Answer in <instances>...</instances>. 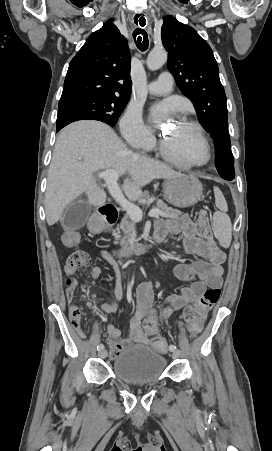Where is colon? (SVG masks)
Here are the masks:
<instances>
[{
	"label": "colon",
	"instance_id": "1",
	"mask_svg": "<svg viewBox=\"0 0 272 451\" xmlns=\"http://www.w3.org/2000/svg\"><path fill=\"white\" fill-rule=\"evenodd\" d=\"M198 227L204 232V248L206 249H214L216 244L212 240L211 236V227L209 223V214L207 211L203 210L200 212L197 219ZM63 238L65 239L66 249L67 250H76L78 243V236L76 235L75 230H64ZM91 258L87 252L84 251H74L69 254L66 268L67 269H77V268H86L90 265ZM65 286L68 289H71L74 286V283L71 280H68L65 283ZM221 296V291L216 288L208 289L198 300L196 305L189 306L184 311V318L188 324V328L190 333L197 334L201 330V326L205 317V314L213 308L215 304L218 303ZM72 318V324L76 330L80 331V335L83 336V332L81 331V326L79 322V311L77 309H73L70 312ZM153 346L155 351H159L161 353H166L168 349V341L163 338H155L153 341Z\"/></svg>",
	"mask_w": 272,
	"mask_h": 451
}]
</instances>
